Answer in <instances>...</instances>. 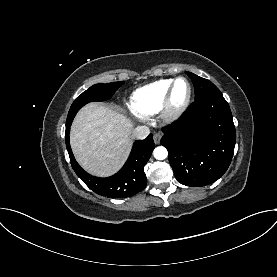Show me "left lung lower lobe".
I'll list each match as a JSON object with an SVG mask.
<instances>
[{"instance_id": "1", "label": "left lung lower lobe", "mask_w": 277, "mask_h": 277, "mask_svg": "<svg viewBox=\"0 0 277 277\" xmlns=\"http://www.w3.org/2000/svg\"><path fill=\"white\" fill-rule=\"evenodd\" d=\"M176 179L191 187L218 180L228 169L236 143L230 107L221 94L195 100L183 117L162 129Z\"/></svg>"}]
</instances>
